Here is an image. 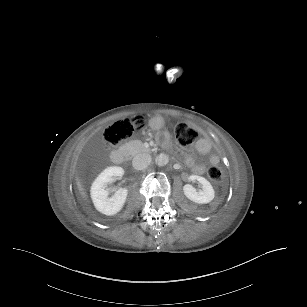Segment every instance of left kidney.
<instances>
[{
	"instance_id": "5707ae66",
	"label": "left kidney",
	"mask_w": 307,
	"mask_h": 307,
	"mask_svg": "<svg viewBox=\"0 0 307 307\" xmlns=\"http://www.w3.org/2000/svg\"><path fill=\"white\" fill-rule=\"evenodd\" d=\"M190 180H196L201 184V189L197 192L196 189L189 184L183 186V193L189 200L198 204H208L215 197V191L211 183L204 177L192 175Z\"/></svg>"
}]
</instances>
